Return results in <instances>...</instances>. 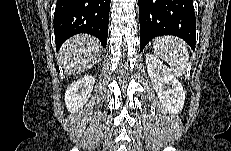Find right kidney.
Here are the masks:
<instances>
[{"label":"right kidney","mask_w":231,"mask_h":151,"mask_svg":"<svg viewBox=\"0 0 231 151\" xmlns=\"http://www.w3.org/2000/svg\"><path fill=\"white\" fill-rule=\"evenodd\" d=\"M95 78L93 76H84L72 82L65 92V104L70 112H76L88 101Z\"/></svg>","instance_id":"right-kidney-1"}]
</instances>
